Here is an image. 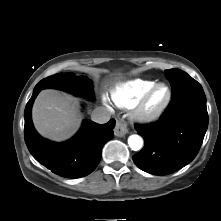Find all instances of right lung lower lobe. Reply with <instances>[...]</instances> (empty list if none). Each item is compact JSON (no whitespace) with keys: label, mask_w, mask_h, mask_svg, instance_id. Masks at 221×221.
<instances>
[{"label":"right lung lower lobe","mask_w":221,"mask_h":221,"mask_svg":"<svg viewBox=\"0 0 221 221\" xmlns=\"http://www.w3.org/2000/svg\"><path fill=\"white\" fill-rule=\"evenodd\" d=\"M41 90L34 88L25 108L24 137L28 150L38 162L59 176H87L99 164L104 144L114 137L115 120L112 119L103 125L85 121L71 140L64 143L50 142L36 132L32 123V105Z\"/></svg>","instance_id":"right-lung-lower-lobe-1"}]
</instances>
